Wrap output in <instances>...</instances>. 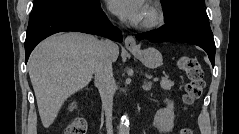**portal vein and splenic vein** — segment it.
I'll list each match as a JSON object with an SVG mask.
<instances>
[{
  "mask_svg": "<svg viewBox=\"0 0 239 134\" xmlns=\"http://www.w3.org/2000/svg\"><path fill=\"white\" fill-rule=\"evenodd\" d=\"M153 80H154V81H158V80H159V78H158V77H155Z\"/></svg>",
  "mask_w": 239,
  "mask_h": 134,
  "instance_id": "1",
  "label": "portal vein and splenic vein"
}]
</instances>
